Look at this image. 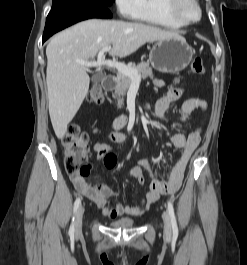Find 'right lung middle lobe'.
Instances as JSON below:
<instances>
[{"label":"right lung middle lobe","instance_id":"right-lung-middle-lobe-1","mask_svg":"<svg viewBox=\"0 0 247 265\" xmlns=\"http://www.w3.org/2000/svg\"><path fill=\"white\" fill-rule=\"evenodd\" d=\"M115 0H52V9L71 5H97L108 7Z\"/></svg>","mask_w":247,"mask_h":265}]
</instances>
